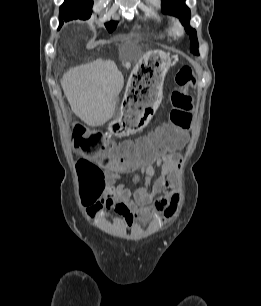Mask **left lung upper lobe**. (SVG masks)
<instances>
[{"label":"left lung upper lobe","mask_w":261,"mask_h":306,"mask_svg":"<svg viewBox=\"0 0 261 306\" xmlns=\"http://www.w3.org/2000/svg\"><path fill=\"white\" fill-rule=\"evenodd\" d=\"M162 6L165 13L175 15L180 19L186 32L190 35V51L199 55L196 31L189 26L190 10L185 5V0H162Z\"/></svg>","instance_id":"1"}]
</instances>
